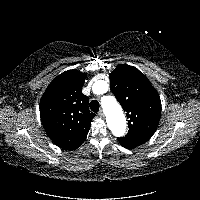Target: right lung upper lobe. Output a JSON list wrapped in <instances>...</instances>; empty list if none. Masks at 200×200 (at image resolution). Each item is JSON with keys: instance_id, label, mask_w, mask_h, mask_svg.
I'll list each match as a JSON object with an SVG mask.
<instances>
[{"instance_id": "cb5924a9", "label": "right lung upper lobe", "mask_w": 200, "mask_h": 200, "mask_svg": "<svg viewBox=\"0 0 200 200\" xmlns=\"http://www.w3.org/2000/svg\"><path fill=\"white\" fill-rule=\"evenodd\" d=\"M86 73L66 71L48 86L40 101V117L49 138L59 147L77 149L85 140L95 114L82 94Z\"/></svg>"}]
</instances>
